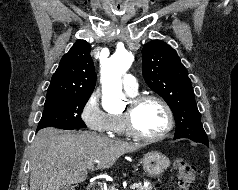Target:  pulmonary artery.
I'll use <instances>...</instances> for the list:
<instances>
[{"label": "pulmonary artery", "instance_id": "e3ab8cb5", "mask_svg": "<svg viewBox=\"0 0 238 190\" xmlns=\"http://www.w3.org/2000/svg\"><path fill=\"white\" fill-rule=\"evenodd\" d=\"M124 90L129 94H136L138 90V83L132 74H125L122 79Z\"/></svg>", "mask_w": 238, "mask_h": 190}]
</instances>
